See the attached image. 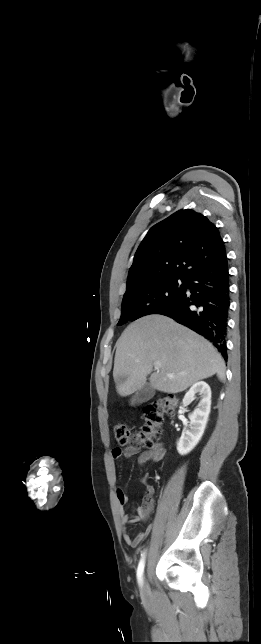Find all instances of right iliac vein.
<instances>
[{"label":"right iliac vein","instance_id":"1","mask_svg":"<svg viewBox=\"0 0 261 644\" xmlns=\"http://www.w3.org/2000/svg\"><path fill=\"white\" fill-rule=\"evenodd\" d=\"M149 591H148V585L144 583L141 587V596L146 599L148 597Z\"/></svg>","mask_w":261,"mask_h":644}]
</instances>
